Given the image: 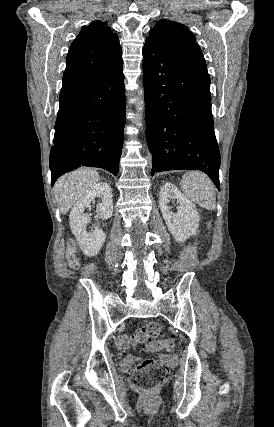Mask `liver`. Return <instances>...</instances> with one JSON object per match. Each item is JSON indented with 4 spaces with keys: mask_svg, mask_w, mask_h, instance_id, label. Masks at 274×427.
I'll return each instance as SVG.
<instances>
[{
    "mask_svg": "<svg viewBox=\"0 0 274 427\" xmlns=\"http://www.w3.org/2000/svg\"><path fill=\"white\" fill-rule=\"evenodd\" d=\"M99 180L98 172L92 168H79L59 178L54 186V192L61 214H67L81 194L88 192L90 186H94Z\"/></svg>",
    "mask_w": 274,
    "mask_h": 427,
    "instance_id": "1",
    "label": "liver"
}]
</instances>
